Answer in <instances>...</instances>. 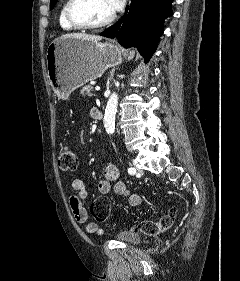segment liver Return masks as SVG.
<instances>
[{"label": "liver", "mask_w": 240, "mask_h": 281, "mask_svg": "<svg viewBox=\"0 0 240 281\" xmlns=\"http://www.w3.org/2000/svg\"><path fill=\"white\" fill-rule=\"evenodd\" d=\"M62 37L68 38V37H74V38H79V39H84L92 42H99L101 37L96 36V35H89L85 33H71V34H66L63 35Z\"/></svg>", "instance_id": "liver-1"}]
</instances>
